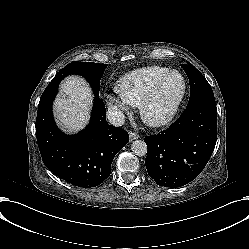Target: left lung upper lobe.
I'll return each instance as SVG.
<instances>
[{
    "label": "left lung upper lobe",
    "instance_id": "obj_1",
    "mask_svg": "<svg viewBox=\"0 0 249 249\" xmlns=\"http://www.w3.org/2000/svg\"><path fill=\"white\" fill-rule=\"evenodd\" d=\"M181 67L185 70L190 82V98L188 104L200 99L214 98L211 86L192 64H181Z\"/></svg>",
    "mask_w": 249,
    "mask_h": 249
}]
</instances>
